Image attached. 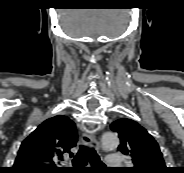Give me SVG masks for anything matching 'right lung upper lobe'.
Listing matches in <instances>:
<instances>
[{
  "mask_svg": "<svg viewBox=\"0 0 184 173\" xmlns=\"http://www.w3.org/2000/svg\"><path fill=\"white\" fill-rule=\"evenodd\" d=\"M77 132L74 122L58 115L38 126L21 144L13 167V173H67L64 167H56L63 155L70 154L76 146Z\"/></svg>",
  "mask_w": 184,
  "mask_h": 173,
  "instance_id": "obj_1",
  "label": "right lung upper lobe"
}]
</instances>
